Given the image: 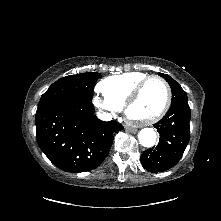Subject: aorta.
I'll return each instance as SVG.
<instances>
[{"label":"aorta","instance_id":"762f6f07","mask_svg":"<svg viewBox=\"0 0 221 221\" xmlns=\"http://www.w3.org/2000/svg\"><path fill=\"white\" fill-rule=\"evenodd\" d=\"M139 143L144 147H152L156 143V132L152 128H144L138 134Z\"/></svg>","mask_w":221,"mask_h":221}]
</instances>
